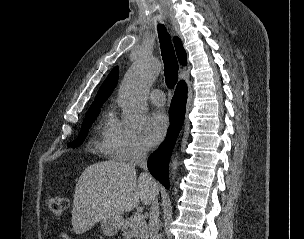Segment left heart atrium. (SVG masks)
<instances>
[{"mask_svg": "<svg viewBox=\"0 0 304 239\" xmlns=\"http://www.w3.org/2000/svg\"><path fill=\"white\" fill-rule=\"evenodd\" d=\"M169 126V119L163 110L154 111L147 122L146 138L150 146L157 145L165 136Z\"/></svg>", "mask_w": 304, "mask_h": 239, "instance_id": "39dd6f15", "label": "left heart atrium"}]
</instances>
